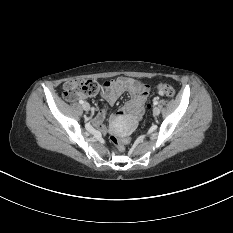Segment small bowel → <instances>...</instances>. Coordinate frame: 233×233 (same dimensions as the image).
Segmentation results:
<instances>
[{"instance_id": "1", "label": "small bowel", "mask_w": 233, "mask_h": 233, "mask_svg": "<svg viewBox=\"0 0 233 233\" xmlns=\"http://www.w3.org/2000/svg\"><path fill=\"white\" fill-rule=\"evenodd\" d=\"M149 91L150 88L146 83L120 76L104 83L102 95L108 105L112 106L124 92H127L130 96L129 100L118 114L119 116H128L131 120L135 121L143 114ZM106 115L107 107L100 110L94 118L95 124L102 130H104L102 122Z\"/></svg>"}]
</instances>
